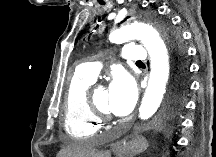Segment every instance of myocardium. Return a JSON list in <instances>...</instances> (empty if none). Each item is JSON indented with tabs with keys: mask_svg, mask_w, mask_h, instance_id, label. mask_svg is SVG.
Instances as JSON below:
<instances>
[{
	"mask_svg": "<svg viewBox=\"0 0 216 157\" xmlns=\"http://www.w3.org/2000/svg\"><path fill=\"white\" fill-rule=\"evenodd\" d=\"M93 96H94V94L88 97L89 104H90V107H91L93 113L99 118V120H101V119L102 120H110L111 116H110L109 112L106 110H102L94 101Z\"/></svg>",
	"mask_w": 216,
	"mask_h": 157,
	"instance_id": "myocardium-1",
	"label": "myocardium"
}]
</instances>
